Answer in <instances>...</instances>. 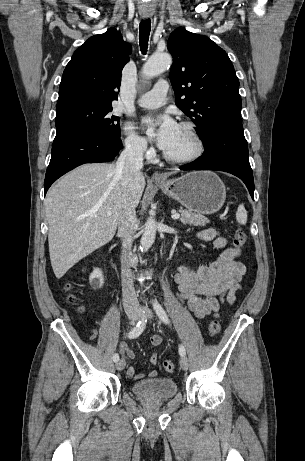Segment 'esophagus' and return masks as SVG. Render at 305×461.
I'll use <instances>...</instances> for the list:
<instances>
[{"mask_svg":"<svg viewBox=\"0 0 305 461\" xmlns=\"http://www.w3.org/2000/svg\"><path fill=\"white\" fill-rule=\"evenodd\" d=\"M145 18H147V17H145ZM151 178H152L153 181H164V180H165V176L162 175V174L159 173V172H154V173L152 174V177H151Z\"/></svg>","mask_w":305,"mask_h":461,"instance_id":"esophagus-1","label":"esophagus"}]
</instances>
